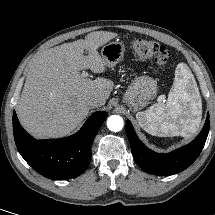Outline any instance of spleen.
Instances as JSON below:
<instances>
[{
	"label": "spleen",
	"mask_w": 215,
	"mask_h": 215,
	"mask_svg": "<svg viewBox=\"0 0 215 215\" xmlns=\"http://www.w3.org/2000/svg\"><path fill=\"white\" fill-rule=\"evenodd\" d=\"M201 114L202 103L194 76L185 63H179L167 102H158L138 112L136 118L151 135L189 138L197 132Z\"/></svg>",
	"instance_id": "3e777b00"
}]
</instances>
